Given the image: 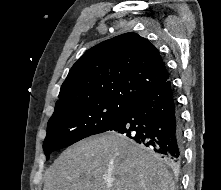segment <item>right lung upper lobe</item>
<instances>
[{"label": "right lung upper lobe", "mask_w": 221, "mask_h": 190, "mask_svg": "<svg viewBox=\"0 0 221 190\" xmlns=\"http://www.w3.org/2000/svg\"><path fill=\"white\" fill-rule=\"evenodd\" d=\"M167 80L157 48L136 33H125L82 55L61 86L55 110L102 99L131 103Z\"/></svg>", "instance_id": "right-lung-upper-lobe-1"}]
</instances>
